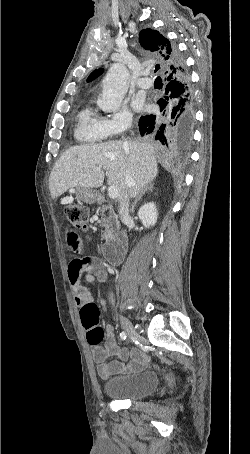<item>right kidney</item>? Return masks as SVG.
<instances>
[{"mask_svg":"<svg viewBox=\"0 0 250 454\" xmlns=\"http://www.w3.org/2000/svg\"><path fill=\"white\" fill-rule=\"evenodd\" d=\"M138 217L146 228L154 226L157 222L158 212L153 202L142 205L138 210Z\"/></svg>","mask_w":250,"mask_h":454,"instance_id":"right-kidney-1","label":"right kidney"}]
</instances>
